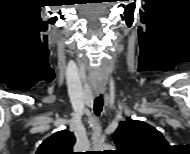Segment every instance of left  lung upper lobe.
<instances>
[{"label":"left lung upper lobe","mask_w":190,"mask_h":154,"mask_svg":"<svg viewBox=\"0 0 190 154\" xmlns=\"http://www.w3.org/2000/svg\"><path fill=\"white\" fill-rule=\"evenodd\" d=\"M118 154H161L169 147L163 135L151 125L128 119L113 134Z\"/></svg>","instance_id":"left-lung-upper-lobe-1"}]
</instances>
